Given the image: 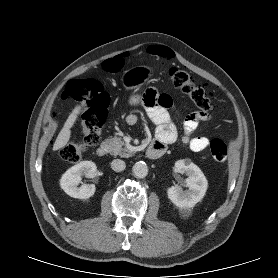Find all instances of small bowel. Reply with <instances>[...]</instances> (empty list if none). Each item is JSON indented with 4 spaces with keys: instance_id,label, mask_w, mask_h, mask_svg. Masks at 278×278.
Listing matches in <instances>:
<instances>
[{
    "instance_id": "small-bowel-1",
    "label": "small bowel",
    "mask_w": 278,
    "mask_h": 278,
    "mask_svg": "<svg viewBox=\"0 0 278 278\" xmlns=\"http://www.w3.org/2000/svg\"><path fill=\"white\" fill-rule=\"evenodd\" d=\"M130 105L142 104L155 125V142L163 144L165 147L174 143L178 138L176 125L171 121L168 108L172 105V99L167 94H160L156 89L149 88L142 96L133 95L129 99ZM211 120L208 111H195L190 113L183 123L182 142L190 150L201 152L205 150L210 140L204 136H192L200 122ZM138 121L135 114H129L126 122L134 125Z\"/></svg>"
}]
</instances>
